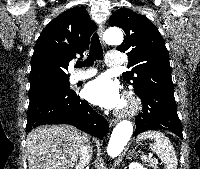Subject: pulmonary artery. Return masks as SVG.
I'll return each instance as SVG.
<instances>
[{
    "label": "pulmonary artery",
    "mask_w": 200,
    "mask_h": 169,
    "mask_svg": "<svg viewBox=\"0 0 200 169\" xmlns=\"http://www.w3.org/2000/svg\"><path fill=\"white\" fill-rule=\"evenodd\" d=\"M122 62H123V59L119 52L111 51L108 54V59L106 61V64L108 66H117V65L122 64ZM95 74H96L95 70L88 71V72H77L73 75L72 82H79V81L89 79V78L93 77Z\"/></svg>",
    "instance_id": "1"
}]
</instances>
